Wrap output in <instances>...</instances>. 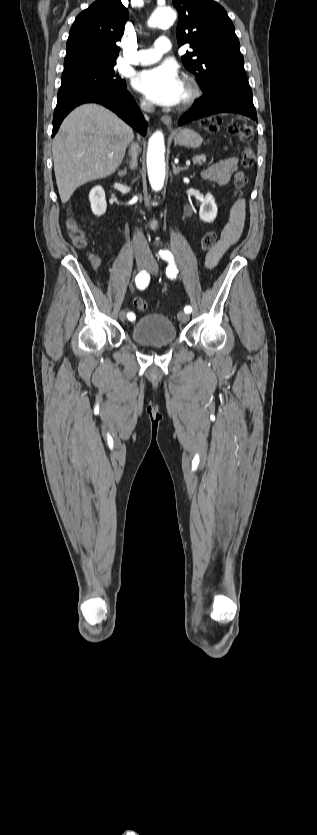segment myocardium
Wrapping results in <instances>:
<instances>
[{
	"label": "myocardium",
	"instance_id": "f54148a6",
	"mask_svg": "<svg viewBox=\"0 0 317 835\" xmlns=\"http://www.w3.org/2000/svg\"><path fill=\"white\" fill-rule=\"evenodd\" d=\"M184 89L185 93L179 104L180 109H187L191 107L201 95L200 86L194 78H185Z\"/></svg>",
	"mask_w": 317,
	"mask_h": 835
}]
</instances>
